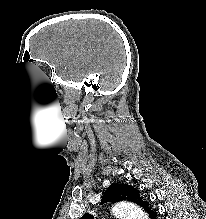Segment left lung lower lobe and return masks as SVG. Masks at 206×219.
I'll use <instances>...</instances> for the list:
<instances>
[{
  "instance_id": "left-lung-lower-lobe-1",
  "label": "left lung lower lobe",
  "mask_w": 206,
  "mask_h": 219,
  "mask_svg": "<svg viewBox=\"0 0 206 219\" xmlns=\"http://www.w3.org/2000/svg\"><path fill=\"white\" fill-rule=\"evenodd\" d=\"M147 212H148V214H149V217L151 218V219H156V212H154V211H152V210H147Z\"/></svg>"
}]
</instances>
